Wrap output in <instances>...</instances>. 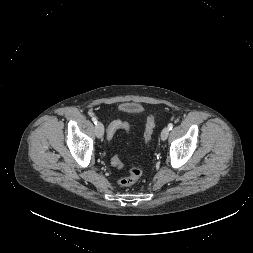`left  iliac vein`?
Masks as SVG:
<instances>
[{
    "label": "left iliac vein",
    "mask_w": 253,
    "mask_h": 253,
    "mask_svg": "<svg viewBox=\"0 0 253 253\" xmlns=\"http://www.w3.org/2000/svg\"><path fill=\"white\" fill-rule=\"evenodd\" d=\"M169 128L168 127H165L162 132H161V140L162 141H165L169 135Z\"/></svg>",
    "instance_id": "1"
}]
</instances>
